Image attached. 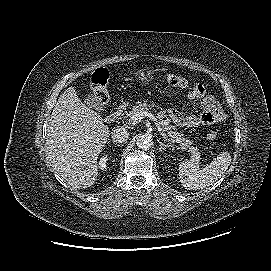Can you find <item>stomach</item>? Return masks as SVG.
Segmentation results:
<instances>
[{
    "label": "stomach",
    "mask_w": 271,
    "mask_h": 271,
    "mask_svg": "<svg viewBox=\"0 0 271 271\" xmlns=\"http://www.w3.org/2000/svg\"><path fill=\"white\" fill-rule=\"evenodd\" d=\"M155 70L151 68L141 69L136 73V79L140 86H144L154 76Z\"/></svg>",
    "instance_id": "1"
}]
</instances>
